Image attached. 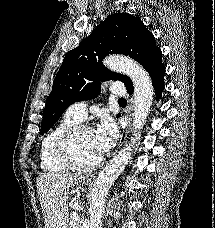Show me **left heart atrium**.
<instances>
[{
    "label": "left heart atrium",
    "instance_id": "1",
    "mask_svg": "<svg viewBox=\"0 0 215 228\" xmlns=\"http://www.w3.org/2000/svg\"><path fill=\"white\" fill-rule=\"evenodd\" d=\"M118 129L114 120L108 115H102L94 130V140L99 152L105 154L115 143Z\"/></svg>",
    "mask_w": 215,
    "mask_h": 228
}]
</instances>
